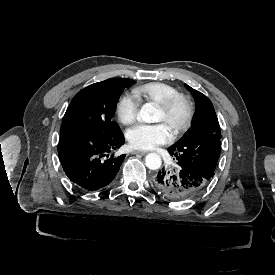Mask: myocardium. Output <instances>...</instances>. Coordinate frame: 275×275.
<instances>
[{
    "label": "myocardium",
    "instance_id": "obj_1",
    "mask_svg": "<svg viewBox=\"0 0 275 275\" xmlns=\"http://www.w3.org/2000/svg\"><path fill=\"white\" fill-rule=\"evenodd\" d=\"M178 103H181L184 106L185 117L181 124L173 132L175 137L185 133L191 127L195 113L193 102L187 95L182 93H175L157 103L164 112H170Z\"/></svg>",
    "mask_w": 275,
    "mask_h": 275
}]
</instances>
